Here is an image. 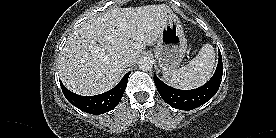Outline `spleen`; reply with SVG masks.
Listing matches in <instances>:
<instances>
[{"mask_svg": "<svg viewBox=\"0 0 276 138\" xmlns=\"http://www.w3.org/2000/svg\"><path fill=\"white\" fill-rule=\"evenodd\" d=\"M215 65V51L211 44H205L188 65L174 71L163 72V78L178 89L197 88L211 77Z\"/></svg>", "mask_w": 276, "mask_h": 138, "instance_id": "obj_1", "label": "spleen"}]
</instances>
